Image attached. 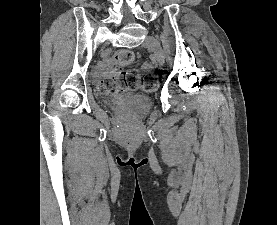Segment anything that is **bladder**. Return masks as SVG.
<instances>
[{
	"label": "bladder",
	"instance_id": "bladder-1",
	"mask_svg": "<svg viewBox=\"0 0 277 225\" xmlns=\"http://www.w3.org/2000/svg\"><path fill=\"white\" fill-rule=\"evenodd\" d=\"M113 110H133L139 113L146 112L151 107V99L142 94L128 93L124 95H116L110 102Z\"/></svg>",
	"mask_w": 277,
	"mask_h": 225
}]
</instances>
